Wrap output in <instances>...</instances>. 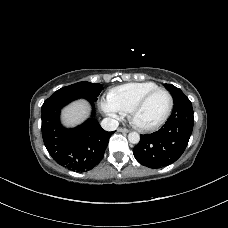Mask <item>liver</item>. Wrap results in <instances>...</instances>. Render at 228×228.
Segmentation results:
<instances>
[{
	"label": "liver",
	"mask_w": 228,
	"mask_h": 228,
	"mask_svg": "<svg viewBox=\"0 0 228 228\" xmlns=\"http://www.w3.org/2000/svg\"><path fill=\"white\" fill-rule=\"evenodd\" d=\"M90 107L84 99L75 101L68 105L62 113V120L66 126H75L88 118Z\"/></svg>",
	"instance_id": "6515ba94"
}]
</instances>
